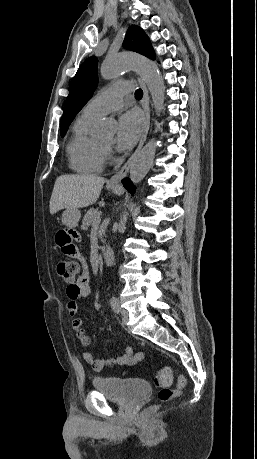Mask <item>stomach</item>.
I'll return each instance as SVG.
<instances>
[{"mask_svg":"<svg viewBox=\"0 0 257 459\" xmlns=\"http://www.w3.org/2000/svg\"><path fill=\"white\" fill-rule=\"evenodd\" d=\"M111 190H115V187H111ZM81 214L78 209H66L62 215L63 224H68L69 228L77 227L80 220Z\"/></svg>","mask_w":257,"mask_h":459,"instance_id":"1","label":"stomach"}]
</instances>
